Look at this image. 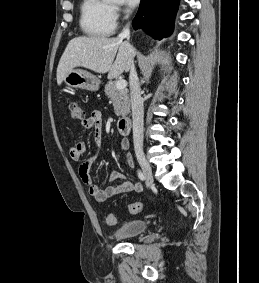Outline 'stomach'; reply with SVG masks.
<instances>
[{
  "label": "stomach",
  "mask_w": 259,
  "mask_h": 283,
  "mask_svg": "<svg viewBox=\"0 0 259 283\" xmlns=\"http://www.w3.org/2000/svg\"><path fill=\"white\" fill-rule=\"evenodd\" d=\"M64 83L72 88H80L88 91H97L101 81L95 75L82 69L71 70L63 79Z\"/></svg>",
  "instance_id": "stomach-1"
}]
</instances>
